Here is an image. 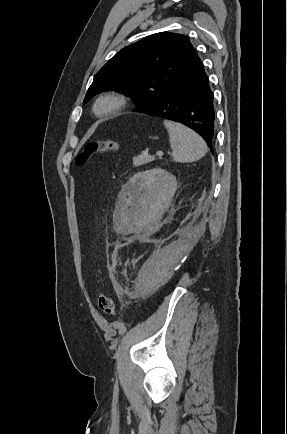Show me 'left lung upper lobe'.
Here are the masks:
<instances>
[{"instance_id":"left-lung-upper-lobe-1","label":"left lung upper lobe","mask_w":287,"mask_h":434,"mask_svg":"<svg viewBox=\"0 0 287 434\" xmlns=\"http://www.w3.org/2000/svg\"><path fill=\"white\" fill-rule=\"evenodd\" d=\"M199 60L184 35L153 34L114 55L94 76L83 103L115 89L135 99L137 112L156 104Z\"/></svg>"}]
</instances>
